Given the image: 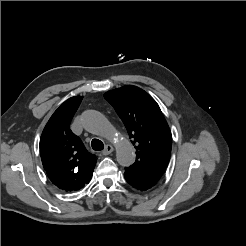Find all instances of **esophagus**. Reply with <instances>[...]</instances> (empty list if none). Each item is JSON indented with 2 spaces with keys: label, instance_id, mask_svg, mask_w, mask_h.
Here are the masks:
<instances>
[{
  "label": "esophagus",
  "instance_id": "esophagus-1",
  "mask_svg": "<svg viewBox=\"0 0 246 246\" xmlns=\"http://www.w3.org/2000/svg\"><path fill=\"white\" fill-rule=\"evenodd\" d=\"M113 150H114V148L111 145L107 144L105 146L104 150L102 151V153H103V155H109L110 153L113 152Z\"/></svg>",
  "mask_w": 246,
  "mask_h": 246
}]
</instances>
